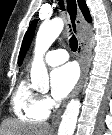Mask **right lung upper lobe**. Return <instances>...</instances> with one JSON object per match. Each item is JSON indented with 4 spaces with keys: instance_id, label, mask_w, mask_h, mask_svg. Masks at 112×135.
Masks as SVG:
<instances>
[{
    "instance_id": "right-lung-upper-lobe-1",
    "label": "right lung upper lobe",
    "mask_w": 112,
    "mask_h": 135,
    "mask_svg": "<svg viewBox=\"0 0 112 135\" xmlns=\"http://www.w3.org/2000/svg\"><path fill=\"white\" fill-rule=\"evenodd\" d=\"M78 5L85 17V19L88 21V22H91V16L89 14V10L87 8V5L85 3V0H78Z\"/></svg>"
}]
</instances>
